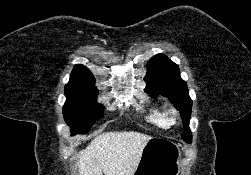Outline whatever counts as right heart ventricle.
I'll return each mask as SVG.
<instances>
[{
	"instance_id": "1",
	"label": "right heart ventricle",
	"mask_w": 251,
	"mask_h": 175,
	"mask_svg": "<svg viewBox=\"0 0 251 175\" xmlns=\"http://www.w3.org/2000/svg\"><path fill=\"white\" fill-rule=\"evenodd\" d=\"M147 120L161 129H169L172 126L166 110L159 104H152L149 106Z\"/></svg>"
}]
</instances>
